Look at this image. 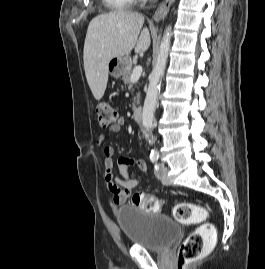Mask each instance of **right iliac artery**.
<instances>
[{
	"mask_svg": "<svg viewBox=\"0 0 265 269\" xmlns=\"http://www.w3.org/2000/svg\"><path fill=\"white\" fill-rule=\"evenodd\" d=\"M150 160L152 163H155L158 160L157 156H150Z\"/></svg>",
	"mask_w": 265,
	"mask_h": 269,
	"instance_id": "obj_1",
	"label": "right iliac artery"
}]
</instances>
